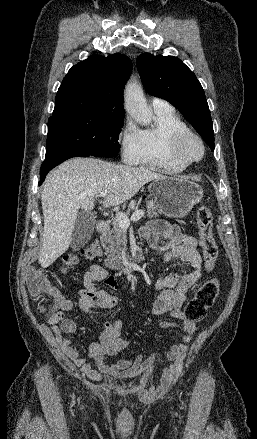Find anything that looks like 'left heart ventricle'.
I'll return each instance as SVG.
<instances>
[{
  "mask_svg": "<svg viewBox=\"0 0 257 439\" xmlns=\"http://www.w3.org/2000/svg\"><path fill=\"white\" fill-rule=\"evenodd\" d=\"M185 153L188 157L190 158H198L201 154V148L199 146V144L196 141H189L185 148Z\"/></svg>",
  "mask_w": 257,
  "mask_h": 439,
  "instance_id": "obj_1",
  "label": "left heart ventricle"
}]
</instances>
